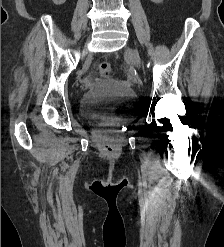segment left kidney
I'll use <instances>...</instances> for the list:
<instances>
[{"mask_svg": "<svg viewBox=\"0 0 224 247\" xmlns=\"http://www.w3.org/2000/svg\"><path fill=\"white\" fill-rule=\"evenodd\" d=\"M151 2H155V4H161V2H163V0H151Z\"/></svg>", "mask_w": 224, "mask_h": 247, "instance_id": "left-kidney-1", "label": "left kidney"}]
</instances>
